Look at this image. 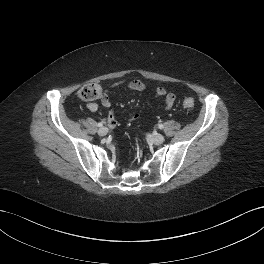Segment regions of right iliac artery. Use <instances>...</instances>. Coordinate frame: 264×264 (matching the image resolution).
Returning a JSON list of instances; mask_svg holds the SVG:
<instances>
[{
	"instance_id": "82829eb1",
	"label": "right iliac artery",
	"mask_w": 264,
	"mask_h": 264,
	"mask_svg": "<svg viewBox=\"0 0 264 264\" xmlns=\"http://www.w3.org/2000/svg\"><path fill=\"white\" fill-rule=\"evenodd\" d=\"M103 126V123L102 122H99L98 123V127H102Z\"/></svg>"
}]
</instances>
